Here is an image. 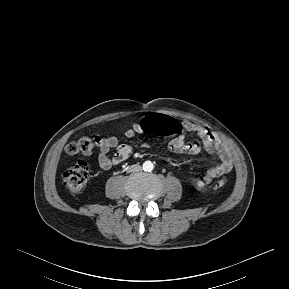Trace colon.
Returning a JSON list of instances; mask_svg holds the SVG:
<instances>
[{
    "mask_svg": "<svg viewBox=\"0 0 289 289\" xmlns=\"http://www.w3.org/2000/svg\"><path fill=\"white\" fill-rule=\"evenodd\" d=\"M141 131L145 134H155L157 136L176 135L181 130V123L176 118L162 116L159 113H152L143 117L139 122ZM99 138L80 137L71 141L66 146L67 153L71 155H89L99 147ZM90 169L85 161H78L72 168L68 169L63 175V183L72 193H81L85 190ZM227 178L222 177L215 182L216 189L226 185Z\"/></svg>",
    "mask_w": 289,
    "mask_h": 289,
    "instance_id": "1",
    "label": "colon"
}]
</instances>
